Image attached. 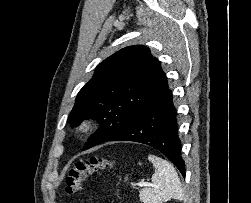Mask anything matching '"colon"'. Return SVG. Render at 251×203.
Wrapping results in <instances>:
<instances>
[{
    "label": "colon",
    "instance_id": "1",
    "mask_svg": "<svg viewBox=\"0 0 251 203\" xmlns=\"http://www.w3.org/2000/svg\"><path fill=\"white\" fill-rule=\"evenodd\" d=\"M114 164L102 157H91L88 160L76 161L69 169L65 181V194L71 196L81 189L85 178L100 170L112 169Z\"/></svg>",
    "mask_w": 251,
    "mask_h": 203
}]
</instances>
